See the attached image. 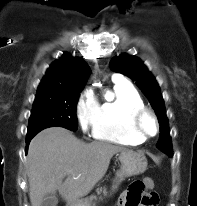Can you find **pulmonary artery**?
Wrapping results in <instances>:
<instances>
[{
    "label": "pulmonary artery",
    "mask_w": 197,
    "mask_h": 206,
    "mask_svg": "<svg viewBox=\"0 0 197 206\" xmlns=\"http://www.w3.org/2000/svg\"><path fill=\"white\" fill-rule=\"evenodd\" d=\"M114 80H116V81H120V80H121V76H119V75H115Z\"/></svg>",
    "instance_id": "e3ab8cb5"
}]
</instances>
